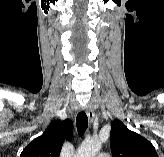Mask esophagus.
I'll return each mask as SVG.
<instances>
[{
    "instance_id": "obj_1",
    "label": "esophagus",
    "mask_w": 164,
    "mask_h": 157,
    "mask_svg": "<svg viewBox=\"0 0 164 157\" xmlns=\"http://www.w3.org/2000/svg\"><path fill=\"white\" fill-rule=\"evenodd\" d=\"M86 113H87V116H88V119H89V121L92 123L93 122V120H94V110H93V108L91 107V105H88V106H86Z\"/></svg>"
}]
</instances>
